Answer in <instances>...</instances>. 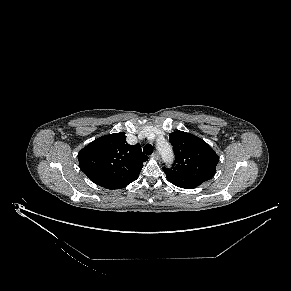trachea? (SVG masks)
Masks as SVG:
<instances>
[{"label": "trachea", "instance_id": "3493384b", "mask_svg": "<svg viewBox=\"0 0 291 291\" xmlns=\"http://www.w3.org/2000/svg\"><path fill=\"white\" fill-rule=\"evenodd\" d=\"M143 152L146 155H151L153 152V146L151 144H146L143 148Z\"/></svg>", "mask_w": 291, "mask_h": 291}]
</instances>
